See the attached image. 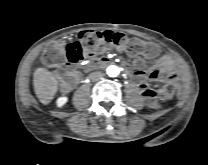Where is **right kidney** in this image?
<instances>
[{"mask_svg":"<svg viewBox=\"0 0 208 165\" xmlns=\"http://www.w3.org/2000/svg\"><path fill=\"white\" fill-rule=\"evenodd\" d=\"M68 101V98L67 97H60L57 99L56 101V105L57 107H63Z\"/></svg>","mask_w":208,"mask_h":165,"instance_id":"right-kidney-1","label":"right kidney"}]
</instances>
